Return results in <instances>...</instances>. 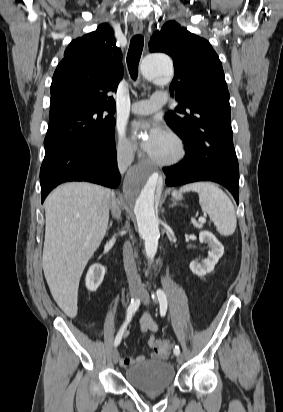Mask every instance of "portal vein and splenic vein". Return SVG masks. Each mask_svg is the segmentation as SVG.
I'll return each instance as SVG.
<instances>
[{
  "label": "portal vein and splenic vein",
  "instance_id": "1",
  "mask_svg": "<svg viewBox=\"0 0 283 412\" xmlns=\"http://www.w3.org/2000/svg\"><path fill=\"white\" fill-rule=\"evenodd\" d=\"M206 222V219H205V217H200L199 218V223L202 225V224H204Z\"/></svg>",
  "mask_w": 283,
  "mask_h": 412
}]
</instances>
